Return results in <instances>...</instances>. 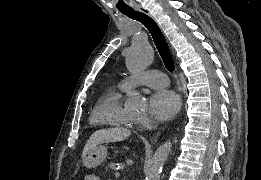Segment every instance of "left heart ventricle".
I'll list each match as a JSON object with an SVG mask.
<instances>
[{
    "label": "left heart ventricle",
    "instance_id": "left-heart-ventricle-1",
    "mask_svg": "<svg viewBox=\"0 0 261 180\" xmlns=\"http://www.w3.org/2000/svg\"><path fill=\"white\" fill-rule=\"evenodd\" d=\"M130 90H132V89H130ZM123 112H124L125 118L130 121H139L141 114H142V112L136 113L135 109H123Z\"/></svg>",
    "mask_w": 261,
    "mask_h": 180
}]
</instances>
